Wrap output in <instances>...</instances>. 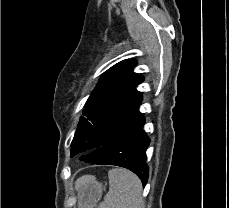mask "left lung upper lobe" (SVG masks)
Masks as SVG:
<instances>
[{
	"instance_id": "1",
	"label": "left lung upper lobe",
	"mask_w": 229,
	"mask_h": 208,
	"mask_svg": "<svg viewBox=\"0 0 229 208\" xmlns=\"http://www.w3.org/2000/svg\"><path fill=\"white\" fill-rule=\"evenodd\" d=\"M136 60H123L108 69L91 93L75 132L71 149L99 131L131 128L143 115L136 87L144 77L134 73Z\"/></svg>"
}]
</instances>
